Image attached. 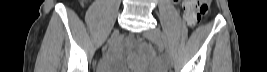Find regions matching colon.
Wrapping results in <instances>:
<instances>
[{
  "mask_svg": "<svg viewBox=\"0 0 267 72\" xmlns=\"http://www.w3.org/2000/svg\"><path fill=\"white\" fill-rule=\"evenodd\" d=\"M194 14L199 18L209 13L211 0H197L194 1Z\"/></svg>",
  "mask_w": 267,
  "mask_h": 72,
  "instance_id": "1",
  "label": "colon"
}]
</instances>
